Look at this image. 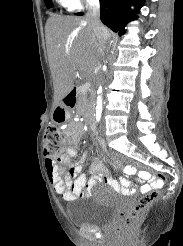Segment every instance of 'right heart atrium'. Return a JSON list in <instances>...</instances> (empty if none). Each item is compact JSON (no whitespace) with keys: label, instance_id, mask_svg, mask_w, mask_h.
Returning <instances> with one entry per match:
<instances>
[{"label":"right heart atrium","instance_id":"1","mask_svg":"<svg viewBox=\"0 0 183 246\" xmlns=\"http://www.w3.org/2000/svg\"><path fill=\"white\" fill-rule=\"evenodd\" d=\"M73 9L80 8L83 2H90L93 0H67Z\"/></svg>","mask_w":183,"mask_h":246}]
</instances>
